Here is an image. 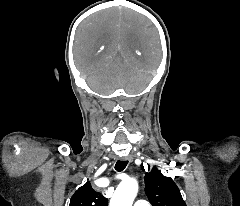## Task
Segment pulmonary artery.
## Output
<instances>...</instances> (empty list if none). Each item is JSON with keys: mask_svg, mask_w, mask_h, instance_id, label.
<instances>
[{"mask_svg": "<svg viewBox=\"0 0 240 206\" xmlns=\"http://www.w3.org/2000/svg\"><path fill=\"white\" fill-rule=\"evenodd\" d=\"M134 206H151L146 200H137Z\"/></svg>", "mask_w": 240, "mask_h": 206, "instance_id": "1", "label": "pulmonary artery"}]
</instances>
